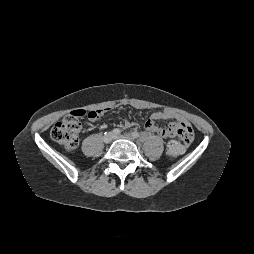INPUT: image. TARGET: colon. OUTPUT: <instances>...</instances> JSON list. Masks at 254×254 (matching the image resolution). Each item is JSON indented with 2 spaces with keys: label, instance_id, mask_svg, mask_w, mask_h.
Wrapping results in <instances>:
<instances>
[{
  "label": "colon",
  "instance_id": "obj_1",
  "mask_svg": "<svg viewBox=\"0 0 254 254\" xmlns=\"http://www.w3.org/2000/svg\"><path fill=\"white\" fill-rule=\"evenodd\" d=\"M99 110L86 112L77 110L61 121L57 122L51 129V137L54 141L61 144L67 150H74L79 143V136L82 130L81 119L84 116L88 118H98ZM179 138L188 139V144L192 139V129L188 125H180L177 128ZM182 152V142L180 139L173 140L168 144L167 153L170 157H176Z\"/></svg>",
  "mask_w": 254,
  "mask_h": 254
}]
</instances>
